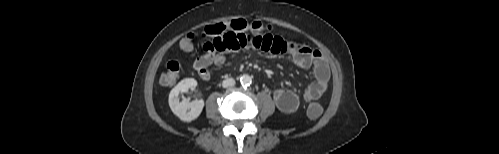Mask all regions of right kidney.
<instances>
[{"label": "right kidney", "mask_w": 499, "mask_h": 154, "mask_svg": "<svg viewBox=\"0 0 499 154\" xmlns=\"http://www.w3.org/2000/svg\"><path fill=\"white\" fill-rule=\"evenodd\" d=\"M197 86V81L193 78H186L179 82L169 94V106L172 112L178 116L182 121L191 122L199 117L201 114L204 101L196 100L192 102L181 101L179 102V94L194 90Z\"/></svg>", "instance_id": "obj_1"}]
</instances>
